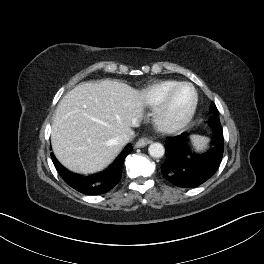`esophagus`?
I'll return each mask as SVG.
<instances>
[{
	"instance_id": "obj_1",
	"label": "esophagus",
	"mask_w": 264,
	"mask_h": 264,
	"mask_svg": "<svg viewBox=\"0 0 264 264\" xmlns=\"http://www.w3.org/2000/svg\"><path fill=\"white\" fill-rule=\"evenodd\" d=\"M150 143H152V140H150L149 138L144 137V138L139 139L136 142L135 147L136 148H142V147L147 146Z\"/></svg>"
}]
</instances>
